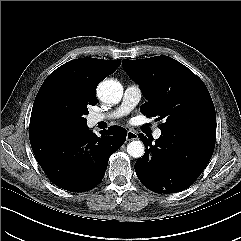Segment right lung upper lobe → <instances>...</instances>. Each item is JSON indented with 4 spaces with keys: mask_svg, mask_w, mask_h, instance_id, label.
I'll use <instances>...</instances> for the list:
<instances>
[{
    "mask_svg": "<svg viewBox=\"0 0 241 241\" xmlns=\"http://www.w3.org/2000/svg\"><path fill=\"white\" fill-rule=\"evenodd\" d=\"M121 64L120 60L80 58L69 61L53 71L44 81L35 98V103L45 93L62 89L87 105L97 104V85L112 74ZM33 111V110H32ZM30 140L38 138L29 134Z\"/></svg>",
    "mask_w": 241,
    "mask_h": 241,
    "instance_id": "right-lung-upper-lobe-1",
    "label": "right lung upper lobe"
}]
</instances>
